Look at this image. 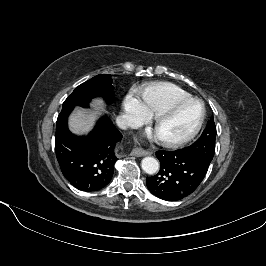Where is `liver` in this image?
I'll return each mask as SVG.
<instances>
[{
	"label": "liver",
	"mask_w": 266,
	"mask_h": 266,
	"mask_svg": "<svg viewBox=\"0 0 266 266\" xmlns=\"http://www.w3.org/2000/svg\"><path fill=\"white\" fill-rule=\"evenodd\" d=\"M92 106L96 113L105 111V104L100 98L93 100ZM95 118V115H87L83 110L77 108L69 119V127L76 134L87 133L92 129Z\"/></svg>",
	"instance_id": "1"
}]
</instances>
